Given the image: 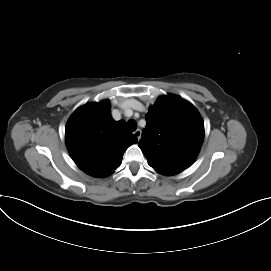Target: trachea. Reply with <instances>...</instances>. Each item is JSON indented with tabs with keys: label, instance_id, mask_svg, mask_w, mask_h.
<instances>
[{
	"label": "trachea",
	"instance_id": "3493384b",
	"mask_svg": "<svg viewBox=\"0 0 271 271\" xmlns=\"http://www.w3.org/2000/svg\"><path fill=\"white\" fill-rule=\"evenodd\" d=\"M126 127H127V129H128L129 131L133 132V131H135L136 128H137V123H136L135 120L130 119V120L127 121Z\"/></svg>",
	"mask_w": 271,
	"mask_h": 271
}]
</instances>
